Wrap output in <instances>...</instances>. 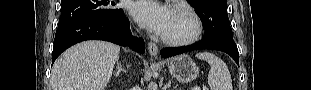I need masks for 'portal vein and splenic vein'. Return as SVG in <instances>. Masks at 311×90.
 I'll list each match as a JSON object with an SVG mask.
<instances>
[{
	"label": "portal vein and splenic vein",
	"mask_w": 311,
	"mask_h": 90,
	"mask_svg": "<svg viewBox=\"0 0 311 90\" xmlns=\"http://www.w3.org/2000/svg\"><path fill=\"white\" fill-rule=\"evenodd\" d=\"M193 90H200V88L198 86H196Z\"/></svg>",
	"instance_id": "obj_1"
}]
</instances>
